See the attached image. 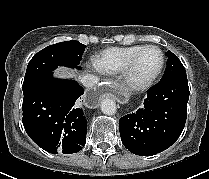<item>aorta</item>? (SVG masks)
I'll use <instances>...</instances> for the list:
<instances>
[{
	"instance_id": "obj_1",
	"label": "aorta",
	"mask_w": 209,
	"mask_h": 179,
	"mask_svg": "<svg viewBox=\"0 0 209 179\" xmlns=\"http://www.w3.org/2000/svg\"><path fill=\"white\" fill-rule=\"evenodd\" d=\"M101 110L106 115H113L116 113V104L112 99L106 98L101 102Z\"/></svg>"
}]
</instances>
